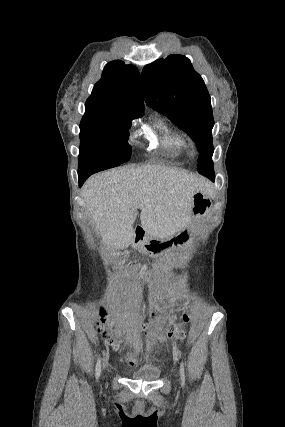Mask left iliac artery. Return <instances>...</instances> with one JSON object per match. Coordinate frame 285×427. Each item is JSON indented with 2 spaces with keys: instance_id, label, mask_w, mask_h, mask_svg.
I'll list each match as a JSON object with an SVG mask.
<instances>
[{
  "instance_id": "obj_1",
  "label": "left iliac artery",
  "mask_w": 285,
  "mask_h": 427,
  "mask_svg": "<svg viewBox=\"0 0 285 427\" xmlns=\"http://www.w3.org/2000/svg\"><path fill=\"white\" fill-rule=\"evenodd\" d=\"M180 375H181V381H182V383H184L185 382V374H184V365H183V363H181V366H180Z\"/></svg>"
}]
</instances>
